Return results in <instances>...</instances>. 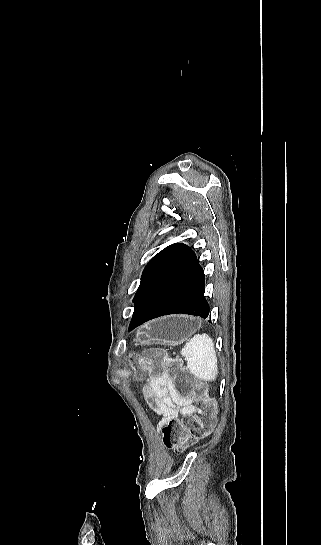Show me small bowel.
<instances>
[{"mask_svg": "<svg viewBox=\"0 0 321 545\" xmlns=\"http://www.w3.org/2000/svg\"><path fill=\"white\" fill-rule=\"evenodd\" d=\"M144 396L153 411L162 417L158 429L167 421L194 411L193 399L181 397L176 393L169 378H149L144 388Z\"/></svg>", "mask_w": 321, "mask_h": 545, "instance_id": "obj_1", "label": "small bowel"}]
</instances>
